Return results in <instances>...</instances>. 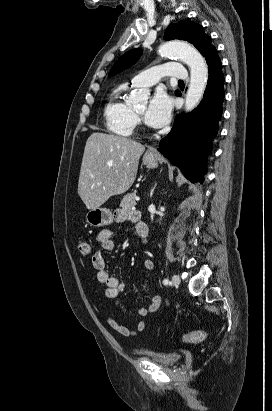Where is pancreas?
Returning <instances> with one entry per match:
<instances>
[{
  "label": "pancreas",
  "instance_id": "obj_1",
  "mask_svg": "<svg viewBox=\"0 0 272 411\" xmlns=\"http://www.w3.org/2000/svg\"><path fill=\"white\" fill-rule=\"evenodd\" d=\"M136 192L126 194L120 204L123 209H130L136 205L135 202Z\"/></svg>",
  "mask_w": 272,
  "mask_h": 411
}]
</instances>
